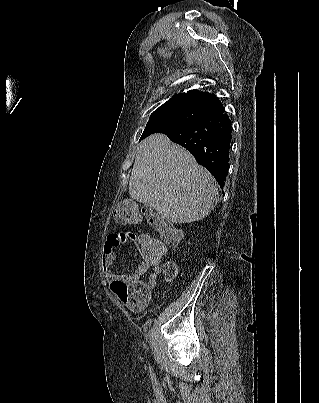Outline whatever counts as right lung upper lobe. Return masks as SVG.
Wrapping results in <instances>:
<instances>
[{
	"instance_id": "cb5924a9",
	"label": "right lung upper lobe",
	"mask_w": 319,
	"mask_h": 403,
	"mask_svg": "<svg viewBox=\"0 0 319 403\" xmlns=\"http://www.w3.org/2000/svg\"><path fill=\"white\" fill-rule=\"evenodd\" d=\"M174 102H190L209 108L212 114L224 112L222 103L214 94L208 92H199L197 90L188 91L187 93H179L170 98L166 103ZM165 104V103H164Z\"/></svg>"
}]
</instances>
